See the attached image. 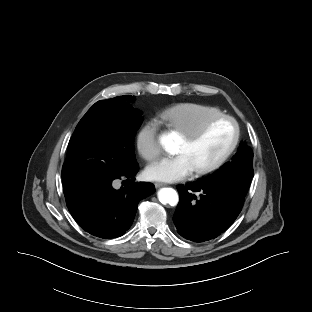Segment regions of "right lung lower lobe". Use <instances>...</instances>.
Masks as SVG:
<instances>
[{
  "label": "right lung lower lobe",
  "mask_w": 312,
  "mask_h": 312,
  "mask_svg": "<svg viewBox=\"0 0 312 312\" xmlns=\"http://www.w3.org/2000/svg\"><path fill=\"white\" fill-rule=\"evenodd\" d=\"M138 168L137 164L121 176L132 178ZM119 177L87 186L65 197L73 218L94 236L104 239L122 236L133 223L138 202L155 192L153 184L144 182L115 190L112 181Z\"/></svg>",
  "instance_id": "1"
}]
</instances>
